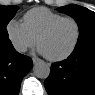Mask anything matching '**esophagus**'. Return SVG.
I'll use <instances>...</instances> for the list:
<instances>
[{
    "label": "esophagus",
    "mask_w": 95,
    "mask_h": 95,
    "mask_svg": "<svg viewBox=\"0 0 95 95\" xmlns=\"http://www.w3.org/2000/svg\"><path fill=\"white\" fill-rule=\"evenodd\" d=\"M32 61H33L34 64H36V63H38L40 61V59L37 58V57H33Z\"/></svg>",
    "instance_id": "34e87169"
}]
</instances>
